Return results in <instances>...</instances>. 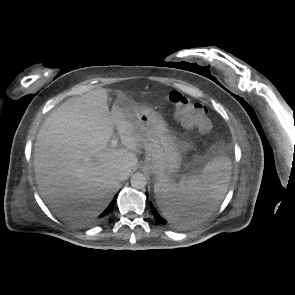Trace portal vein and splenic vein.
<instances>
[{"label":"portal vein and splenic vein","mask_w":295,"mask_h":295,"mask_svg":"<svg viewBox=\"0 0 295 295\" xmlns=\"http://www.w3.org/2000/svg\"><path fill=\"white\" fill-rule=\"evenodd\" d=\"M118 144V140L117 139H113L111 141V147H116ZM86 163L90 162L91 161V158L90 157H86L85 160H84Z\"/></svg>","instance_id":"1"}]
</instances>
